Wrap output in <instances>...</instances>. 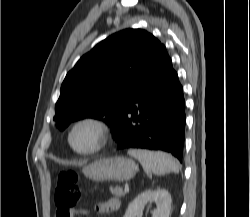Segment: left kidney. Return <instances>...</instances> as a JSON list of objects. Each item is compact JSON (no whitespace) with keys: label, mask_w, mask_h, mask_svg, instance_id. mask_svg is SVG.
<instances>
[{"label":"left kidney","mask_w":250,"mask_h":217,"mask_svg":"<svg viewBox=\"0 0 250 217\" xmlns=\"http://www.w3.org/2000/svg\"><path fill=\"white\" fill-rule=\"evenodd\" d=\"M153 202L156 208L152 217H169L171 209V195L166 189L146 190L139 194L128 206L124 217H138L145 203Z\"/></svg>","instance_id":"5707ae66"}]
</instances>
